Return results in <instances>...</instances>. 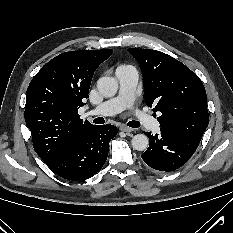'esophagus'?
I'll use <instances>...</instances> for the list:
<instances>
[{
	"instance_id": "1",
	"label": "esophagus",
	"mask_w": 233,
	"mask_h": 233,
	"mask_svg": "<svg viewBox=\"0 0 233 233\" xmlns=\"http://www.w3.org/2000/svg\"><path fill=\"white\" fill-rule=\"evenodd\" d=\"M120 130L123 131V132H127V133L133 131L132 128H130V127L126 126V125H121Z\"/></svg>"
}]
</instances>
